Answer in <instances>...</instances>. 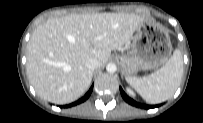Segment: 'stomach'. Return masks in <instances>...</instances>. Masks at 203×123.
<instances>
[{"instance_id": "obj_1", "label": "stomach", "mask_w": 203, "mask_h": 123, "mask_svg": "<svg viewBox=\"0 0 203 123\" xmlns=\"http://www.w3.org/2000/svg\"><path fill=\"white\" fill-rule=\"evenodd\" d=\"M130 55L118 56L122 73L130 77L140 70H152L166 64L172 53L168 33L143 23L132 35Z\"/></svg>"}]
</instances>
